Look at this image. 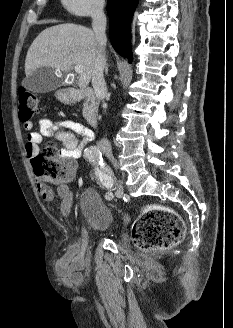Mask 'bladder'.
Here are the masks:
<instances>
[{"label":"bladder","instance_id":"31cf9c89","mask_svg":"<svg viewBox=\"0 0 233 328\" xmlns=\"http://www.w3.org/2000/svg\"><path fill=\"white\" fill-rule=\"evenodd\" d=\"M79 206L89 230L104 233L111 228L114 213L94 189L87 188L81 192Z\"/></svg>","mask_w":233,"mask_h":328}]
</instances>
